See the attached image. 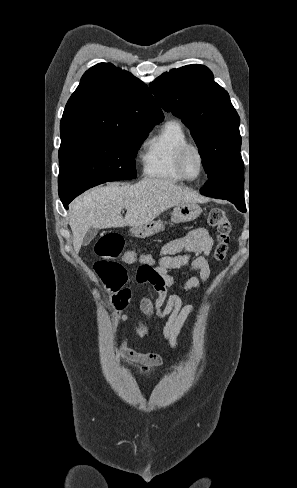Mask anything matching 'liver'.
Returning <instances> with one entry per match:
<instances>
[{"label": "liver", "instance_id": "1", "mask_svg": "<svg viewBox=\"0 0 297 488\" xmlns=\"http://www.w3.org/2000/svg\"><path fill=\"white\" fill-rule=\"evenodd\" d=\"M202 198L173 182L144 178L134 185L110 183L98 186L77 198L70 211L69 225L74 250L78 253L89 228L107 229L140 226L153 221L165 210ZM126 209L125 217L121 215Z\"/></svg>", "mask_w": 297, "mask_h": 488}]
</instances>
